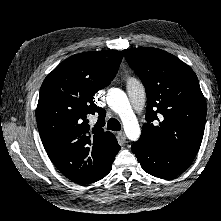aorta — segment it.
<instances>
[{
  "instance_id": "aorta-1",
  "label": "aorta",
  "mask_w": 221,
  "mask_h": 221,
  "mask_svg": "<svg viewBox=\"0 0 221 221\" xmlns=\"http://www.w3.org/2000/svg\"><path fill=\"white\" fill-rule=\"evenodd\" d=\"M106 101L108 106L119 115L128 139L132 141L138 140L141 130L125 92L119 88H111L107 92Z\"/></svg>"
}]
</instances>
